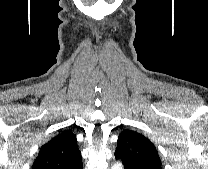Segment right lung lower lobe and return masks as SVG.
I'll list each match as a JSON object with an SVG mask.
<instances>
[{
	"instance_id": "98d812e1",
	"label": "right lung lower lobe",
	"mask_w": 208,
	"mask_h": 169,
	"mask_svg": "<svg viewBox=\"0 0 208 169\" xmlns=\"http://www.w3.org/2000/svg\"><path fill=\"white\" fill-rule=\"evenodd\" d=\"M70 169H83L82 161L78 162L74 166H72Z\"/></svg>"
}]
</instances>
